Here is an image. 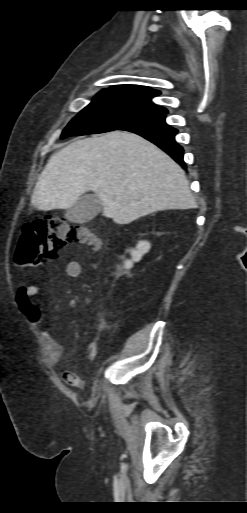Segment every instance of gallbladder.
Masks as SVG:
<instances>
[{"instance_id": "gallbladder-1", "label": "gallbladder", "mask_w": 247, "mask_h": 513, "mask_svg": "<svg viewBox=\"0 0 247 513\" xmlns=\"http://www.w3.org/2000/svg\"><path fill=\"white\" fill-rule=\"evenodd\" d=\"M102 209V203L96 195L85 194L66 210L65 218L69 222L83 224L93 220Z\"/></svg>"}]
</instances>
